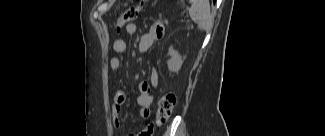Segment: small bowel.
<instances>
[{"mask_svg": "<svg viewBox=\"0 0 325 136\" xmlns=\"http://www.w3.org/2000/svg\"><path fill=\"white\" fill-rule=\"evenodd\" d=\"M137 25L135 23L127 24L123 27L124 32L127 35H135L137 33ZM165 33V27L162 23H157L145 34H143L138 42V48L141 52H147L153 43L163 37ZM113 50L117 54H122L127 50V43L122 38H117L113 42ZM110 69L117 72L122 67L121 58L114 56L109 62ZM158 83V73L155 68L151 71L150 82H143L138 85L137 103L140 107V114L142 118H149L151 115V106L153 103V89ZM126 100V93L123 90L116 92L114 96V105L112 107V119L115 127L121 126L120 113L122 105ZM153 125L150 124L145 129L141 130L137 135L144 136L143 133H149L151 136L153 131Z\"/></svg>", "mask_w": 325, "mask_h": 136, "instance_id": "small-bowel-1", "label": "small bowel"}]
</instances>
